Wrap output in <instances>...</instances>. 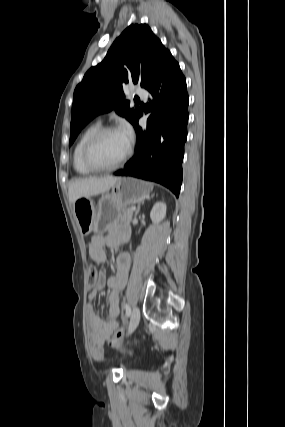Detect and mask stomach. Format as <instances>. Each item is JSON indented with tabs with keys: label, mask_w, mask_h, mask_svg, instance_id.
Returning a JSON list of instances; mask_svg holds the SVG:
<instances>
[{
	"label": "stomach",
	"mask_w": 285,
	"mask_h": 427,
	"mask_svg": "<svg viewBox=\"0 0 285 427\" xmlns=\"http://www.w3.org/2000/svg\"><path fill=\"white\" fill-rule=\"evenodd\" d=\"M153 185L131 177L119 178L111 193L101 196L96 204L90 198H80L74 203V213L79 228L84 233L102 234L120 221L121 210L133 201L149 197Z\"/></svg>",
	"instance_id": "0dacf381"
}]
</instances>
